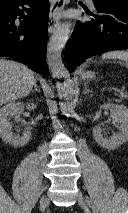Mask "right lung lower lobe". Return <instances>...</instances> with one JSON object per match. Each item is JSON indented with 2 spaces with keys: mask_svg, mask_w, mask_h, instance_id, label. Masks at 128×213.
<instances>
[{
  "mask_svg": "<svg viewBox=\"0 0 128 213\" xmlns=\"http://www.w3.org/2000/svg\"><path fill=\"white\" fill-rule=\"evenodd\" d=\"M48 12V0L0 2V57L23 61L47 76L44 53ZM22 18L19 23L17 19Z\"/></svg>",
  "mask_w": 128,
  "mask_h": 213,
  "instance_id": "98d812e1",
  "label": "right lung lower lobe"
}]
</instances>
